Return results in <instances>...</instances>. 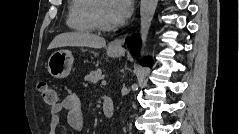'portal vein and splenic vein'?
<instances>
[{
  "label": "portal vein and splenic vein",
  "instance_id": "obj_1",
  "mask_svg": "<svg viewBox=\"0 0 239 134\" xmlns=\"http://www.w3.org/2000/svg\"><path fill=\"white\" fill-rule=\"evenodd\" d=\"M102 84H103V85H105V84H106V81H105V80H103V81H102Z\"/></svg>",
  "mask_w": 239,
  "mask_h": 134
}]
</instances>
